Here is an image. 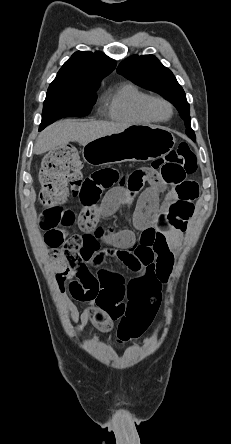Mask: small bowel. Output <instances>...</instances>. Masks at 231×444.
Returning a JSON list of instances; mask_svg holds the SVG:
<instances>
[{
	"mask_svg": "<svg viewBox=\"0 0 231 444\" xmlns=\"http://www.w3.org/2000/svg\"><path fill=\"white\" fill-rule=\"evenodd\" d=\"M120 176L116 169L107 167L84 180L78 195L82 210L77 216L72 212L80 234L65 237L66 229L45 233L47 245L54 248L52 260L61 300L80 328L90 322L99 331H110L114 322L125 313L127 300L145 291L152 283L160 287L167 283L174 254L183 237V231L172 222L171 208L179 201L192 205L199 193L198 185L187 181L182 188L169 191L165 201L160 203L165 183L157 173L149 172L125 188L116 186ZM146 183L148 187L136 202ZM104 190L108 191L101 197ZM121 207H133L131 220L134 228L140 231L138 241L132 230H104L100 227L102 218ZM177 219L180 221L179 217ZM61 245L63 248L59 250ZM66 251L80 255L81 268L69 269ZM108 258H115L134 278L126 283L120 274L105 269ZM74 276L82 286V296L77 298L85 303L82 312L65 294L68 280Z\"/></svg>",
	"mask_w": 231,
	"mask_h": 444,
	"instance_id": "obj_1",
	"label": "small bowel"
}]
</instances>
